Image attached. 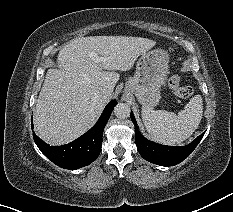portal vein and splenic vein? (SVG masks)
<instances>
[{
    "label": "portal vein and splenic vein",
    "mask_w": 233,
    "mask_h": 212,
    "mask_svg": "<svg viewBox=\"0 0 233 212\" xmlns=\"http://www.w3.org/2000/svg\"><path fill=\"white\" fill-rule=\"evenodd\" d=\"M89 56L93 59L94 62L99 63L101 61H105L106 58L99 57L95 52H90Z\"/></svg>",
    "instance_id": "obj_1"
}]
</instances>
